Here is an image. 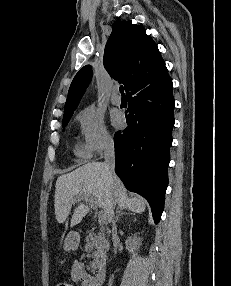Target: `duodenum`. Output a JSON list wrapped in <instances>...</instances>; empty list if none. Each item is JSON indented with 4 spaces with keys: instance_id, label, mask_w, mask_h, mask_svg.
<instances>
[{
    "instance_id": "obj_1",
    "label": "duodenum",
    "mask_w": 231,
    "mask_h": 286,
    "mask_svg": "<svg viewBox=\"0 0 231 286\" xmlns=\"http://www.w3.org/2000/svg\"><path fill=\"white\" fill-rule=\"evenodd\" d=\"M95 279L98 286L103 284L106 280V270L104 268L98 269Z\"/></svg>"
}]
</instances>
